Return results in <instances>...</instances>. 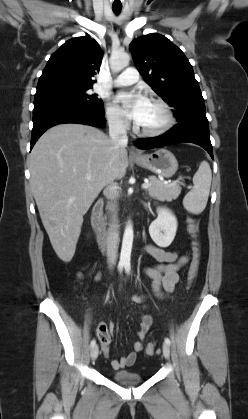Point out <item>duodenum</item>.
Wrapping results in <instances>:
<instances>
[{
  "label": "duodenum",
  "mask_w": 248,
  "mask_h": 419,
  "mask_svg": "<svg viewBox=\"0 0 248 419\" xmlns=\"http://www.w3.org/2000/svg\"><path fill=\"white\" fill-rule=\"evenodd\" d=\"M103 207L104 201L102 199L97 200L92 209L91 224L95 231L98 244L102 249H105L107 244V230L103 220Z\"/></svg>",
  "instance_id": "obj_1"
}]
</instances>
